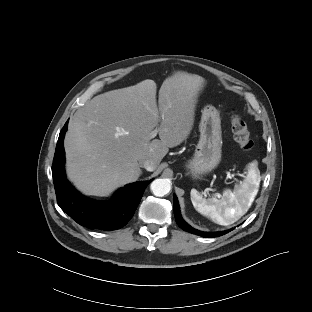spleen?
Returning a JSON list of instances; mask_svg holds the SVG:
<instances>
[{"instance_id":"1","label":"spleen","mask_w":312,"mask_h":312,"mask_svg":"<svg viewBox=\"0 0 312 312\" xmlns=\"http://www.w3.org/2000/svg\"><path fill=\"white\" fill-rule=\"evenodd\" d=\"M259 173L256 167L250 170L249 177L234 191L225 190L221 199H204L196 190H191V201L201 214L210 217L217 224L227 226L238 221L247 213L258 192Z\"/></svg>"}]
</instances>
